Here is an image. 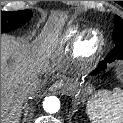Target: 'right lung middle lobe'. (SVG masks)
I'll return each instance as SVG.
<instances>
[{
  "instance_id": "dd1d6c3e",
  "label": "right lung middle lobe",
  "mask_w": 123,
  "mask_h": 123,
  "mask_svg": "<svg viewBox=\"0 0 123 123\" xmlns=\"http://www.w3.org/2000/svg\"><path fill=\"white\" fill-rule=\"evenodd\" d=\"M32 16L30 10L14 12L1 11V33L15 30L24 25Z\"/></svg>"
}]
</instances>
